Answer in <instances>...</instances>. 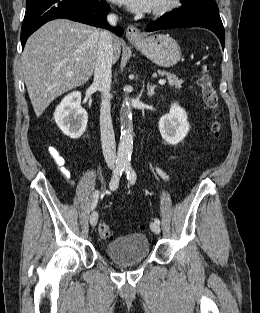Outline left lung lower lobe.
Listing matches in <instances>:
<instances>
[{
    "instance_id": "0a47b994",
    "label": "left lung lower lobe",
    "mask_w": 260,
    "mask_h": 313,
    "mask_svg": "<svg viewBox=\"0 0 260 313\" xmlns=\"http://www.w3.org/2000/svg\"><path fill=\"white\" fill-rule=\"evenodd\" d=\"M203 27L211 30L220 39L224 48L225 31L220 16L202 13H185L174 11L161 16L156 22L150 23L146 31L151 32L170 28Z\"/></svg>"
}]
</instances>
